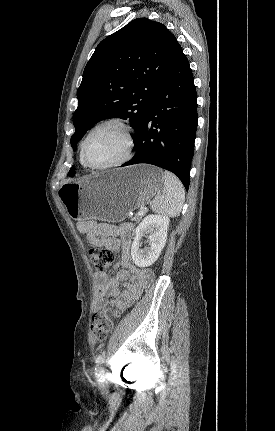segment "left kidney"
<instances>
[{
  "label": "left kidney",
  "mask_w": 275,
  "mask_h": 431,
  "mask_svg": "<svg viewBox=\"0 0 275 431\" xmlns=\"http://www.w3.org/2000/svg\"><path fill=\"white\" fill-rule=\"evenodd\" d=\"M169 222L167 216L150 214L137 226L131 256L138 267H148L158 259L166 243ZM145 233L149 234L150 247L140 250L141 238Z\"/></svg>",
  "instance_id": "1"
}]
</instances>
